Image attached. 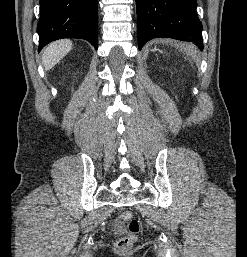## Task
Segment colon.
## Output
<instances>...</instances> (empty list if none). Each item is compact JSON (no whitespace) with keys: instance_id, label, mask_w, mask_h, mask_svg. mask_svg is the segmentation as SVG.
<instances>
[{"instance_id":"obj_1","label":"colon","mask_w":247,"mask_h":257,"mask_svg":"<svg viewBox=\"0 0 247 257\" xmlns=\"http://www.w3.org/2000/svg\"><path fill=\"white\" fill-rule=\"evenodd\" d=\"M121 220L127 225L128 233L117 240L116 246L120 251H127L137 240L140 223L131 211H124L121 215Z\"/></svg>"}]
</instances>
